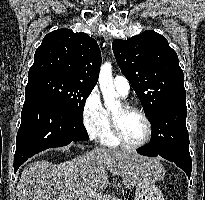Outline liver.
<instances>
[{
	"label": "liver",
	"instance_id": "liver-1",
	"mask_svg": "<svg viewBox=\"0 0 205 200\" xmlns=\"http://www.w3.org/2000/svg\"><path fill=\"white\" fill-rule=\"evenodd\" d=\"M156 158L125 150L95 147L91 151L59 164L35 161L26 165L16 187L17 200H89L88 194L104 191L109 185L107 170L122 177L128 189L144 177H163ZM82 192V195H77Z\"/></svg>",
	"mask_w": 205,
	"mask_h": 200
}]
</instances>
